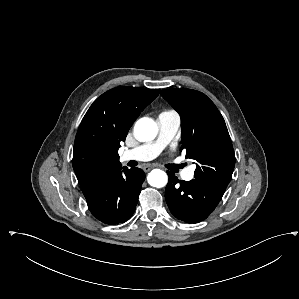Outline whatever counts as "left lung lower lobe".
I'll list each match as a JSON object with an SVG mask.
<instances>
[{
    "mask_svg": "<svg viewBox=\"0 0 299 299\" xmlns=\"http://www.w3.org/2000/svg\"><path fill=\"white\" fill-rule=\"evenodd\" d=\"M169 181L165 198L171 213L186 223H198L206 219L220 202L224 192L210 183L192 179L179 181L167 171Z\"/></svg>",
    "mask_w": 299,
    "mask_h": 299,
    "instance_id": "left-lung-lower-lobe-1",
    "label": "left lung lower lobe"
}]
</instances>
